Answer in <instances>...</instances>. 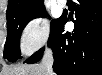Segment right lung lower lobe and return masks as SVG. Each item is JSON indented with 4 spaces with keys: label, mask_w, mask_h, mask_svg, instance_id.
<instances>
[{
    "label": "right lung lower lobe",
    "mask_w": 102,
    "mask_h": 75,
    "mask_svg": "<svg viewBox=\"0 0 102 75\" xmlns=\"http://www.w3.org/2000/svg\"><path fill=\"white\" fill-rule=\"evenodd\" d=\"M73 12L63 14L51 28L48 46L53 49V71L58 75H101L102 1L77 0ZM68 20L74 21L72 33H64ZM43 51L40 49L25 62H38Z\"/></svg>",
    "instance_id": "98d812e1"
}]
</instances>
